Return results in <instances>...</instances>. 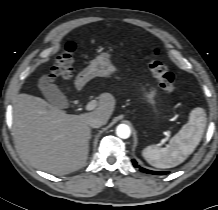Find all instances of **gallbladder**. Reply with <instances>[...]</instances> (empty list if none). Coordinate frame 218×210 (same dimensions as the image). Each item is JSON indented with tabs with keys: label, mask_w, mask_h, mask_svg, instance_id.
Returning <instances> with one entry per match:
<instances>
[{
	"label": "gallbladder",
	"mask_w": 218,
	"mask_h": 210,
	"mask_svg": "<svg viewBox=\"0 0 218 210\" xmlns=\"http://www.w3.org/2000/svg\"><path fill=\"white\" fill-rule=\"evenodd\" d=\"M38 88L46 100L53 106L62 108L67 105L66 98L62 92L49 80L46 75L39 78Z\"/></svg>",
	"instance_id": "obj_1"
}]
</instances>
